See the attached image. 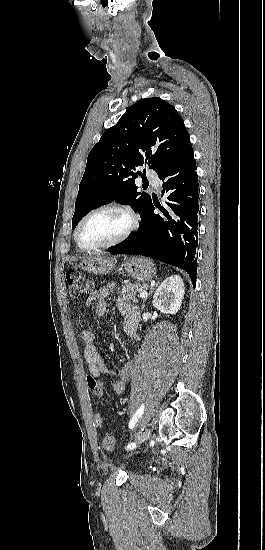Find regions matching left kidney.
I'll return each mask as SVG.
<instances>
[{
  "label": "left kidney",
  "mask_w": 265,
  "mask_h": 550,
  "mask_svg": "<svg viewBox=\"0 0 265 550\" xmlns=\"http://www.w3.org/2000/svg\"><path fill=\"white\" fill-rule=\"evenodd\" d=\"M184 294L185 288L181 277H168L154 293L153 305L162 313L176 314L180 310Z\"/></svg>",
  "instance_id": "left-kidney-1"
}]
</instances>
